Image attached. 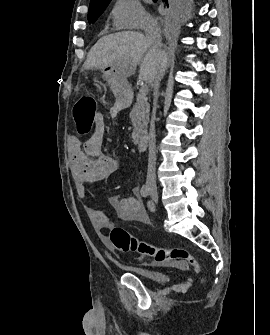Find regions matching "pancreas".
Returning <instances> with one entry per match:
<instances>
[{
  "instance_id": "1",
  "label": "pancreas",
  "mask_w": 270,
  "mask_h": 335,
  "mask_svg": "<svg viewBox=\"0 0 270 335\" xmlns=\"http://www.w3.org/2000/svg\"><path fill=\"white\" fill-rule=\"evenodd\" d=\"M130 120L132 122V126L134 128L132 132L133 140H137L140 134H144L147 132V124L149 122V114L146 110H140L138 106H134L131 114Z\"/></svg>"
}]
</instances>
